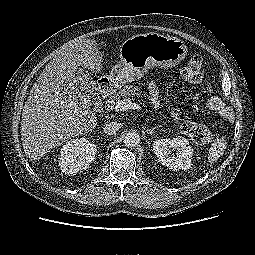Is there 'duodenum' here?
<instances>
[{
	"mask_svg": "<svg viewBox=\"0 0 255 255\" xmlns=\"http://www.w3.org/2000/svg\"><path fill=\"white\" fill-rule=\"evenodd\" d=\"M112 88H113V86L109 80H106V79L100 80L99 85H98V90H99L100 95H102V96L109 95L112 91Z\"/></svg>",
	"mask_w": 255,
	"mask_h": 255,
	"instance_id": "obj_1",
	"label": "duodenum"
}]
</instances>
